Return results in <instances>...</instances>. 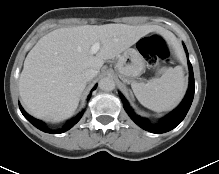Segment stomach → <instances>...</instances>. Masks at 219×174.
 <instances>
[{
	"mask_svg": "<svg viewBox=\"0 0 219 174\" xmlns=\"http://www.w3.org/2000/svg\"><path fill=\"white\" fill-rule=\"evenodd\" d=\"M116 69L124 82H131L143 73L145 62L136 48H128L119 56Z\"/></svg>",
	"mask_w": 219,
	"mask_h": 174,
	"instance_id": "0dacf381",
	"label": "stomach"
}]
</instances>
